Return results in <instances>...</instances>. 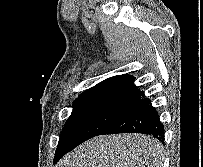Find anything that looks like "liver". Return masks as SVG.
Segmentation results:
<instances>
[{
    "instance_id": "6515ba94",
    "label": "liver",
    "mask_w": 203,
    "mask_h": 167,
    "mask_svg": "<svg viewBox=\"0 0 203 167\" xmlns=\"http://www.w3.org/2000/svg\"><path fill=\"white\" fill-rule=\"evenodd\" d=\"M163 146L142 134L103 135L68 153L56 167H162Z\"/></svg>"
}]
</instances>
